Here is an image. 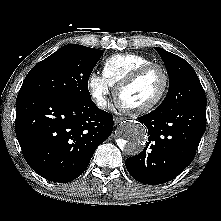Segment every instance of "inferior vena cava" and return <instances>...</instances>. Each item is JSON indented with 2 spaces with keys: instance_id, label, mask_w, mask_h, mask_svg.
Listing matches in <instances>:
<instances>
[{
  "instance_id": "1",
  "label": "inferior vena cava",
  "mask_w": 221,
  "mask_h": 221,
  "mask_svg": "<svg viewBox=\"0 0 221 221\" xmlns=\"http://www.w3.org/2000/svg\"><path fill=\"white\" fill-rule=\"evenodd\" d=\"M98 107L104 109L107 106V101L106 99L102 98L97 102Z\"/></svg>"
}]
</instances>
